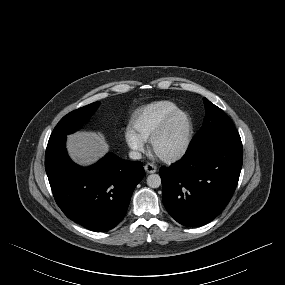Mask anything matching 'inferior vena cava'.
<instances>
[{
  "label": "inferior vena cava",
  "instance_id": "602c4592",
  "mask_svg": "<svg viewBox=\"0 0 285 285\" xmlns=\"http://www.w3.org/2000/svg\"><path fill=\"white\" fill-rule=\"evenodd\" d=\"M129 157H130L132 160H139V159L142 158V155H141V153H139V152H137V151H130Z\"/></svg>",
  "mask_w": 285,
  "mask_h": 285
}]
</instances>
